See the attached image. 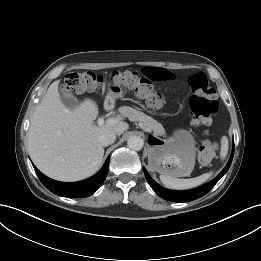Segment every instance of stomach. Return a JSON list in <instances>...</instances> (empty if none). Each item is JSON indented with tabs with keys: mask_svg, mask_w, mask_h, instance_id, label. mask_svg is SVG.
Instances as JSON below:
<instances>
[{
	"mask_svg": "<svg viewBox=\"0 0 261 261\" xmlns=\"http://www.w3.org/2000/svg\"><path fill=\"white\" fill-rule=\"evenodd\" d=\"M123 96V88L111 85L106 101H114ZM195 140L186 130L178 129L168 139L156 135L149 137L148 163L153 171L171 177H186L195 166Z\"/></svg>",
	"mask_w": 261,
	"mask_h": 261,
	"instance_id": "stomach-1",
	"label": "stomach"
}]
</instances>
